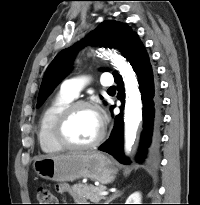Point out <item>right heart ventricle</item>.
I'll return each instance as SVG.
<instances>
[{"instance_id":"right-heart-ventricle-1","label":"right heart ventricle","mask_w":200,"mask_h":205,"mask_svg":"<svg viewBox=\"0 0 200 205\" xmlns=\"http://www.w3.org/2000/svg\"><path fill=\"white\" fill-rule=\"evenodd\" d=\"M74 98L62 91L54 96L42 111L39 120L38 141L45 153H57L63 148L56 142L53 129L58 115Z\"/></svg>"}]
</instances>
